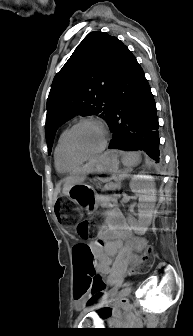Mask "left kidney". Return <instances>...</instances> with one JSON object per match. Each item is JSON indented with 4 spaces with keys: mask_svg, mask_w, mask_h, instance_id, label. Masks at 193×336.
I'll use <instances>...</instances> for the list:
<instances>
[{
    "mask_svg": "<svg viewBox=\"0 0 193 336\" xmlns=\"http://www.w3.org/2000/svg\"><path fill=\"white\" fill-rule=\"evenodd\" d=\"M130 188L132 192L138 193L140 202V226L147 227L153 217L155 201H156V189L152 176L137 175L134 176L130 182ZM128 221L135 224L134 220L129 217Z\"/></svg>",
    "mask_w": 193,
    "mask_h": 336,
    "instance_id": "obj_1",
    "label": "left kidney"
}]
</instances>
